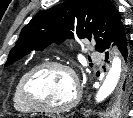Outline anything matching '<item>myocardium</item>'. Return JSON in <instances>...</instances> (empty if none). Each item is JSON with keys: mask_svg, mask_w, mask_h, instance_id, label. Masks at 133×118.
Returning <instances> with one entry per match:
<instances>
[{"mask_svg": "<svg viewBox=\"0 0 133 118\" xmlns=\"http://www.w3.org/2000/svg\"><path fill=\"white\" fill-rule=\"evenodd\" d=\"M49 69H61L70 74L74 83L75 93L74 97L69 103L58 107H49L38 103L36 99L33 97L32 84L34 79L42 72ZM21 92L24 102L28 105V107L31 110L50 114H58L70 111L78 104L81 98V86L74 68L60 61L44 62L31 69L22 81Z\"/></svg>", "mask_w": 133, "mask_h": 118, "instance_id": "f54148a6", "label": "myocardium"}]
</instances>
